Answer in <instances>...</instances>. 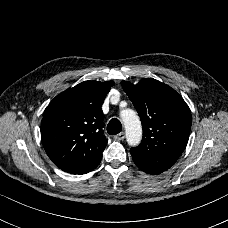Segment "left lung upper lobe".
<instances>
[{"label": "left lung upper lobe", "mask_w": 228, "mask_h": 228, "mask_svg": "<svg viewBox=\"0 0 228 228\" xmlns=\"http://www.w3.org/2000/svg\"><path fill=\"white\" fill-rule=\"evenodd\" d=\"M141 119L143 138L131 148L136 165L156 171L168 170L186 148L192 116L183 98L168 85L153 78L138 84L122 81Z\"/></svg>", "instance_id": "5c2ea615"}]
</instances>
